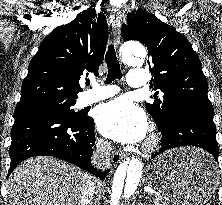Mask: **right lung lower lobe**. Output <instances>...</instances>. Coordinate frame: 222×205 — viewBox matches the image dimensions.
Returning <instances> with one entry per match:
<instances>
[{
	"label": "right lung lower lobe",
	"mask_w": 222,
	"mask_h": 205,
	"mask_svg": "<svg viewBox=\"0 0 222 205\" xmlns=\"http://www.w3.org/2000/svg\"><path fill=\"white\" fill-rule=\"evenodd\" d=\"M11 130V158L8 176L23 160L33 156H54L68 161L103 180L106 172L91 165L95 143L94 120L73 121L48 108L15 110Z\"/></svg>",
	"instance_id": "right-lung-lower-lobe-1"
}]
</instances>
